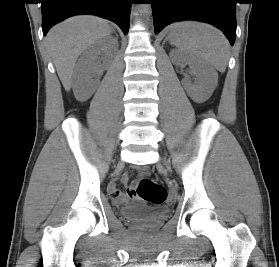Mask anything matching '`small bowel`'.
<instances>
[{"label":"small bowel","instance_id":"small-bowel-1","mask_svg":"<svg viewBox=\"0 0 279 267\" xmlns=\"http://www.w3.org/2000/svg\"><path fill=\"white\" fill-rule=\"evenodd\" d=\"M128 181H129L128 175L127 174L123 175L122 182L124 184H127ZM136 190H137L136 186H127V193H123L116 182H111L108 187V191L112 199L117 203H124L127 202L128 200H133L136 197H138V192H133Z\"/></svg>","mask_w":279,"mask_h":267}]
</instances>
